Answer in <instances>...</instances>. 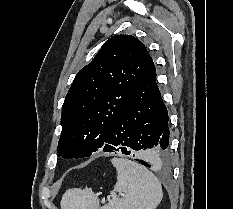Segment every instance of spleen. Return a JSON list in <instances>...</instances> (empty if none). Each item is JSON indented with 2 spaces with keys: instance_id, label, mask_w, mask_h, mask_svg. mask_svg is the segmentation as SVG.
Segmentation results:
<instances>
[{
  "instance_id": "spleen-1",
  "label": "spleen",
  "mask_w": 233,
  "mask_h": 209,
  "mask_svg": "<svg viewBox=\"0 0 233 209\" xmlns=\"http://www.w3.org/2000/svg\"><path fill=\"white\" fill-rule=\"evenodd\" d=\"M111 162L117 171V182L107 204L100 207L90 188H73L64 193L61 209H156L163 198L157 177L131 160L113 158ZM117 192L123 193L121 198Z\"/></svg>"
}]
</instances>
